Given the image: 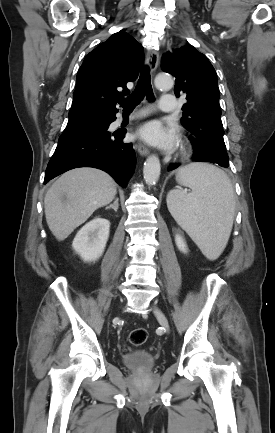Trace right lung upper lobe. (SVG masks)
<instances>
[{
	"instance_id": "right-lung-upper-lobe-1",
	"label": "right lung upper lobe",
	"mask_w": 275,
	"mask_h": 433,
	"mask_svg": "<svg viewBox=\"0 0 275 433\" xmlns=\"http://www.w3.org/2000/svg\"><path fill=\"white\" fill-rule=\"evenodd\" d=\"M143 63L142 45L124 31L101 43L85 57L77 73L69 119L115 115L116 104L129 93L126 83L136 80Z\"/></svg>"
}]
</instances>
